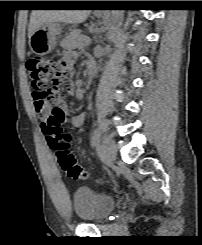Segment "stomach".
Listing matches in <instances>:
<instances>
[{
    "label": "stomach",
    "mask_w": 202,
    "mask_h": 245,
    "mask_svg": "<svg viewBox=\"0 0 202 245\" xmlns=\"http://www.w3.org/2000/svg\"><path fill=\"white\" fill-rule=\"evenodd\" d=\"M59 22H47L38 28L29 38L31 51L40 56L49 54L57 45V37L62 32Z\"/></svg>",
    "instance_id": "1"
}]
</instances>
